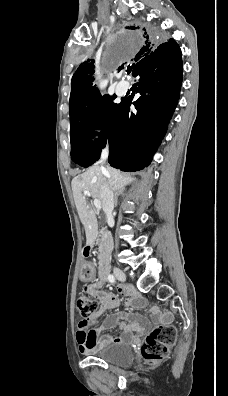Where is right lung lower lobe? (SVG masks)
Instances as JSON below:
<instances>
[{
  "mask_svg": "<svg viewBox=\"0 0 228 396\" xmlns=\"http://www.w3.org/2000/svg\"><path fill=\"white\" fill-rule=\"evenodd\" d=\"M170 39L143 58L133 73L141 96L122 99L108 134L109 163L122 171L147 167L177 105L182 82L181 50Z\"/></svg>",
  "mask_w": 228,
  "mask_h": 396,
  "instance_id": "right-lung-lower-lobe-1",
  "label": "right lung lower lobe"
}]
</instances>
